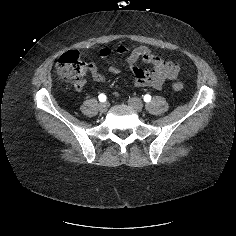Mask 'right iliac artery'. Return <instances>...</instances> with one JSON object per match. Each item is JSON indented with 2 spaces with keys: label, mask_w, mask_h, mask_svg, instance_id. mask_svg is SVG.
I'll return each mask as SVG.
<instances>
[{
  "label": "right iliac artery",
  "mask_w": 236,
  "mask_h": 236,
  "mask_svg": "<svg viewBox=\"0 0 236 236\" xmlns=\"http://www.w3.org/2000/svg\"><path fill=\"white\" fill-rule=\"evenodd\" d=\"M100 102H105L106 101V96L102 93L98 96Z\"/></svg>",
  "instance_id": "obj_1"
}]
</instances>
